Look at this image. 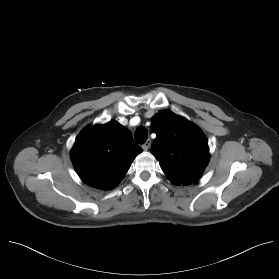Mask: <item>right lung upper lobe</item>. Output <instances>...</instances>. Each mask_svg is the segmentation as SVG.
<instances>
[{
	"label": "right lung upper lobe",
	"mask_w": 279,
	"mask_h": 279,
	"mask_svg": "<svg viewBox=\"0 0 279 279\" xmlns=\"http://www.w3.org/2000/svg\"><path fill=\"white\" fill-rule=\"evenodd\" d=\"M142 151L131 132L116 121L84 129L71 151L79 177L102 190L116 187Z\"/></svg>",
	"instance_id": "obj_1"
}]
</instances>
